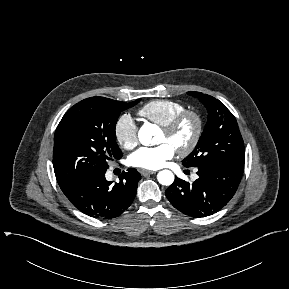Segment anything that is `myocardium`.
Returning a JSON list of instances; mask_svg holds the SVG:
<instances>
[{
  "mask_svg": "<svg viewBox=\"0 0 289 289\" xmlns=\"http://www.w3.org/2000/svg\"><path fill=\"white\" fill-rule=\"evenodd\" d=\"M192 119L195 123V130L189 143L184 147L176 149L177 153L181 156L189 155L197 147L204 130V121L202 116L194 110H184L177 114L170 122L162 126V131L166 135H173L180 126L187 120Z\"/></svg>",
  "mask_w": 289,
  "mask_h": 289,
  "instance_id": "1",
  "label": "myocardium"
}]
</instances>
